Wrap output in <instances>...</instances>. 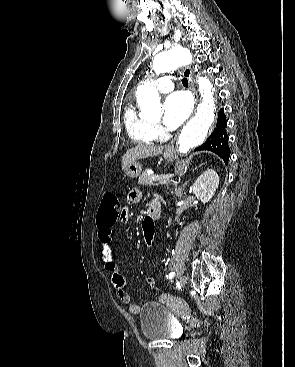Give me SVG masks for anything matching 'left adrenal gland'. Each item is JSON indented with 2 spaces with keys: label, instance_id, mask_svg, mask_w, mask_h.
I'll return each mask as SVG.
<instances>
[{
  "label": "left adrenal gland",
  "instance_id": "left-adrenal-gland-1",
  "mask_svg": "<svg viewBox=\"0 0 295 367\" xmlns=\"http://www.w3.org/2000/svg\"><path fill=\"white\" fill-rule=\"evenodd\" d=\"M186 184H187V181L184 183L183 188L179 187V188H178V190H176V194H177V191L179 192V191H181L182 189H184V187L186 186Z\"/></svg>",
  "mask_w": 295,
  "mask_h": 367
}]
</instances>
